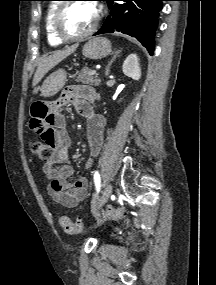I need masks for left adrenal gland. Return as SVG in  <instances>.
I'll list each match as a JSON object with an SVG mask.
<instances>
[{
  "instance_id": "obj_1",
  "label": "left adrenal gland",
  "mask_w": 216,
  "mask_h": 285,
  "mask_svg": "<svg viewBox=\"0 0 216 285\" xmlns=\"http://www.w3.org/2000/svg\"><path fill=\"white\" fill-rule=\"evenodd\" d=\"M121 50H116L114 51V55L111 59V61L108 63V65L106 66L105 69V75L108 76L109 75V71H110V66L112 65V63L115 61V59L117 58V56L120 54Z\"/></svg>"
}]
</instances>
